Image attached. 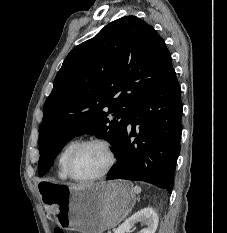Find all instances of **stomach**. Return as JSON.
Segmentation results:
<instances>
[{
  "label": "stomach",
  "mask_w": 227,
  "mask_h": 233,
  "mask_svg": "<svg viewBox=\"0 0 227 233\" xmlns=\"http://www.w3.org/2000/svg\"><path fill=\"white\" fill-rule=\"evenodd\" d=\"M39 190L56 223L80 233H103L117 226L136 203L131 183L122 180L84 187L43 181Z\"/></svg>",
  "instance_id": "1"
}]
</instances>
